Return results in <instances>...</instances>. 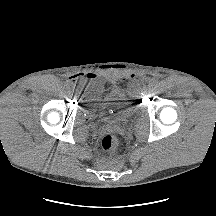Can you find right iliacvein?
I'll use <instances>...</instances> for the list:
<instances>
[{
	"mask_svg": "<svg viewBox=\"0 0 216 216\" xmlns=\"http://www.w3.org/2000/svg\"><path fill=\"white\" fill-rule=\"evenodd\" d=\"M71 93H72V94H76V93H77V90H76V89H72Z\"/></svg>",
	"mask_w": 216,
	"mask_h": 216,
	"instance_id": "1",
	"label": "right iliac vein"
}]
</instances>
